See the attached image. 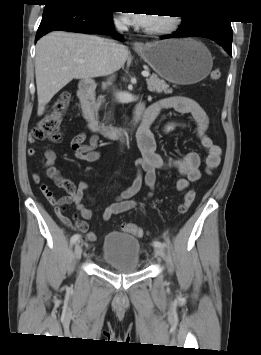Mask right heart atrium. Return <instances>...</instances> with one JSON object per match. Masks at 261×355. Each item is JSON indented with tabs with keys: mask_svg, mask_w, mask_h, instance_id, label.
Masks as SVG:
<instances>
[{
	"mask_svg": "<svg viewBox=\"0 0 261 355\" xmlns=\"http://www.w3.org/2000/svg\"><path fill=\"white\" fill-rule=\"evenodd\" d=\"M115 23L118 25V26H124L125 25V21L122 17H116L115 18Z\"/></svg>",
	"mask_w": 261,
	"mask_h": 355,
	"instance_id": "d8ad5b80",
	"label": "right heart atrium"
}]
</instances>
